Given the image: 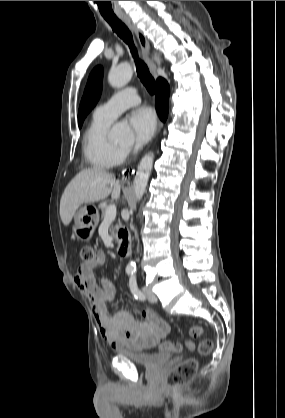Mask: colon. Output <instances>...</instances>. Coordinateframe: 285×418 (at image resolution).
I'll list each match as a JSON object with an SVG mask.
<instances>
[{
  "instance_id": "5ec220e1",
  "label": "colon",
  "mask_w": 285,
  "mask_h": 418,
  "mask_svg": "<svg viewBox=\"0 0 285 418\" xmlns=\"http://www.w3.org/2000/svg\"><path fill=\"white\" fill-rule=\"evenodd\" d=\"M97 257L96 250L91 246H85L80 250V258L84 263H92ZM189 334L193 338H198L203 334L202 327H192ZM214 341L211 338H203L198 345V352L205 356L211 352ZM184 348L188 349V341L180 342H162L159 349L167 352H180ZM199 361L197 358H188L177 364L167 375L164 385L167 388H173L185 385L191 381L198 369Z\"/></svg>"
}]
</instances>
